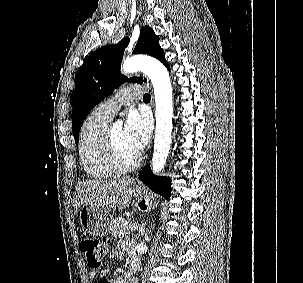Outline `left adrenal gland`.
Segmentation results:
<instances>
[{"label": "left adrenal gland", "mask_w": 303, "mask_h": 283, "mask_svg": "<svg viewBox=\"0 0 303 283\" xmlns=\"http://www.w3.org/2000/svg\"><path fill=\"white\" fill-rule=\"evenodd\" d=\"M145 224H146V223L142 224V226H141L140 229H139V234H140L141 236H143L144 233H145Z\"/></svg>", "instance_id": "obj_1"}]
</instances>
